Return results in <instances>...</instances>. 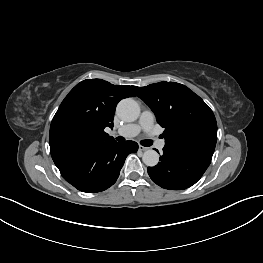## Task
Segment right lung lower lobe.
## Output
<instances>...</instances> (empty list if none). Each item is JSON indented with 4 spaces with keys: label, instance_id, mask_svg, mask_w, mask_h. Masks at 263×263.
Returning <instances> with one entry per match:
<instances>
[{
    "label": "right lung lower lobe",
    "instance_id": "98d812e1",
    "mask_svg": "<svg viewBox=\"0 0 263 263\" xmlns=\"http://www.w3.org/2000/svg\"><path fill=\"white\" fill-rule=\"evenodd\" d=\"M138 150L134 141H111L54 161L62 177L83 192H100L119 177L126 157Z\"/></svg>",
    "mask_w": 263,
    "mask_h": 263
}]
</instances>
